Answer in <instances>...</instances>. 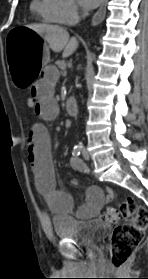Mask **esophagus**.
Masks as SVG:
<instances>
[{
    "label": "esophagus",
    "instance_id": "1",
    "mask_svg": "<svg viewBox=\"0 0 148 279\" xmlns=\"http://www.w3.org/2000/svg\"><path fill=\"white\" fill-rule=\"evenodd\" d=\"M107 1L108 0H103L100 8L94 14L92 21H91L92 26H97L104 20L105 14H106Z\"/></svg>",
    "mask_w": 148,
    "mask_h": 279
}]
</instances>
